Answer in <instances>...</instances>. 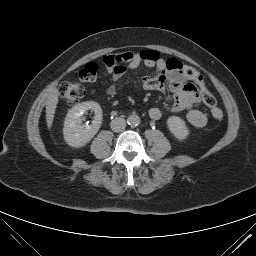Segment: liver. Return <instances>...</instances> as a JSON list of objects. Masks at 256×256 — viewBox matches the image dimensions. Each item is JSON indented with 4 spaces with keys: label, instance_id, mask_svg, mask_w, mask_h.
Wrapping results in <instances>:
<instances>
[{
    "label": "liver",
    "instance_id": "liver-1",
    "mask_svg": "<svg viewBox=\"0 0 256 256\" xmlns=\"http://www.w3.org/2000/svg\"><path fill=\"white\" fill-rule=\"evenodd\" d=\"M58 95H59L58 90L53 89L50 96L48 97V101L46 104V123H47L48 129L51 128L53 123L55 110L58 104Z\"/></svg>",
    "mask_w": 256,
    "mask_h": 256
}]
</instances>
